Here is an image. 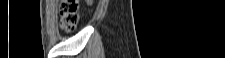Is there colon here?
<instances>
[{"label":"colon","instance_id":"obj_1","mask_svg":"<svg viewBox=\"0 0 225 58\" xmlns=\"http://www.w3.org/2000/svg\"><path fill=\"white\" fill-rule=\"evenodd\" d=\"M78 5L75 0H64L61 5V25L70 32L76 29L79 23Z\"/></svg>","mask_w":225,"mask_h":58}]
</instances>
